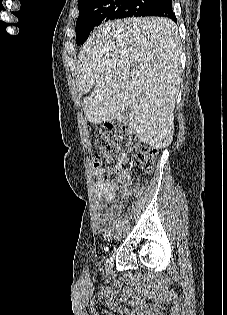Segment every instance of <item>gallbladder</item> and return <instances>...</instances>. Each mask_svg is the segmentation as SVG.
Returning a JSON list of instances; mask_svg holds the SVG:
<instances>
[{"instance_id": "gallbladder-1", "label": "gallbladder", "mask_w": 227, "mask_h": 315, "mask_svg": "<svg viewBox=\"0 0 227 315\" xmlns=\"http://www.w3.org/2000/svg\"><path fill=\"white\" fill-rule=\"evenodd\" d=\"M117 120H118V122H120V123L126 122V120H127L126 114H122L121 118H120V119H117Z\"/></svg>"}]
</instances>
